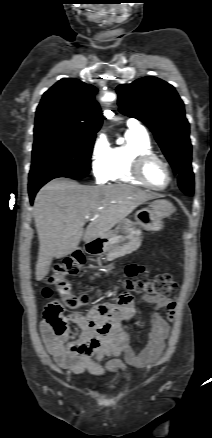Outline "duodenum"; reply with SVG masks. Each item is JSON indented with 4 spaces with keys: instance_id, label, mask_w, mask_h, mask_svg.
<instances>
[{
    "instance_id": "obj_1",
    "label": "duodenum",
    "mask_w": 212,
    "mask_h": 438,
    "mask_svg": "<svg viewBox=\"0 0 212 438\" xmlns=\"http://www.w3.org/2000/svg\"><path fill=\"white\" fill-rule=\"evenodd\" d=\"M101 246L102 242L100 240L89 241L86 245V250L88 253H98Z\"/></svg>"
}]
</instances>
